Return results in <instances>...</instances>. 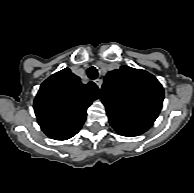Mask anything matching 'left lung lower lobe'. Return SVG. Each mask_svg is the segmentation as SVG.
<instances>
[{
	"mask_svg": "<svg viewBox=\"0 0 194 193\" xmlns=\"http://www.w3.org/2000/svg\"><path fill=\"white\" fill-rule=\"evenodd\" d=\"M108 119L110 125L115 129L118 134L122 136H138L148 130V128L142 125L118 118L113 115H108Z\"/></svg>",
	"mask_w": 194,
	"mask_h": 193,
	"instance_id": "left-lung-lower-lobe-1",
	"label": "left lung lower lobe"
}]
</instances>
